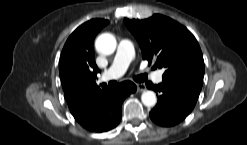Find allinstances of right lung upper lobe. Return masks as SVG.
<instances>
[{
    "mask_svg": "<svg viewBox=\"0 0 247 145\" xmlns=\"http://www.w3.org/2000/svg\"><path fill=\"white\" fill-rule=\"evenodd\" d=\"M108 20L93 19L79 26L68 38L60 57V78L70 111L107 89L95 82L99 69L95 63L93 41Z\"/></svg>",
    "mask_w": 247,
    "mask_h": 145,
    "instance_id": "cb5924a9",
    "label": "right lung upper lobe"
}]
</instances>
